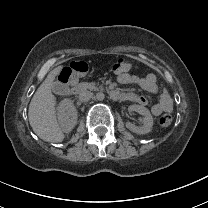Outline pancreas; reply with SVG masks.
<instances>
[{
    "mask_svg": "<svg viewBox=\"0 0 208 208\" xmlns=\"http://www.w3.org/2000/svg\"><path fill=\"white\" fill-rule=\"evenodd\" d=\"M77 88L81 90L89 89L91 91H104V87L102 85H96L93 83L82 82L77 85Z\"/></svg>",
    "mask_w": 208,
    "mask_h": 208,
    "instance_id": "obj_1",
    "label": "pancreas"
}]
</instances>
